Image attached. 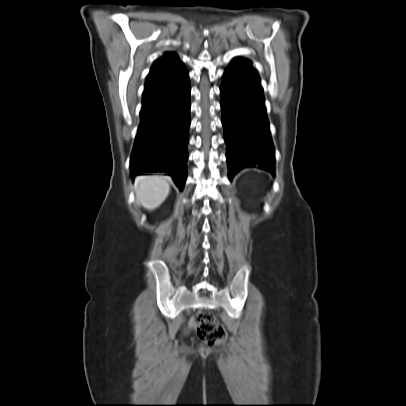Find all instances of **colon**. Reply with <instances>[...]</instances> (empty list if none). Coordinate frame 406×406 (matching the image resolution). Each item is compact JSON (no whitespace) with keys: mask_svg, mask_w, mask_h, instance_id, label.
<instances>
[{"mask_svg":"<svg viewBox=\"0 0 406 406\" xmlns=\"http://www.w3.org/2000/svg\"><path fill=\"white\" fill-rule=\"evenodd\" d=\"M191 327L196 330L199 338L209 345L226 338L225 328L209 311L197 312L191 320Z\"/></svg>","mask_w":406,"mask_h":406,"instance_id":"obj_1","label":"colon"}]
</instances>
